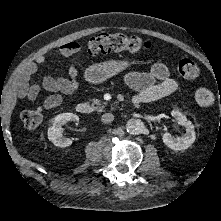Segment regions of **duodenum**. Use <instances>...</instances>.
Returning a JSON list of instances; mask_svg holds the SVG:
<instances>
[{
    "label": "duodenum",
    "mask_w": 221,
    "mask_h": 221,
    "mask_svg": "<svg viewBox=\"0 0 221 221\" xmlns=\"http://www.w3.org/2000/svg\"><path fill=\"white\" fill-rule=\"evenodd\" d=\"M133 103L135 105H140L141 104V101L137 98V97H134L133 98ZM76 111L79 113V114H82V115H85V114H88L90 112V106L87 104V103H79L77 106H76Z\"/></svg>",
    "instance_id": "duodenum-1"
}]
</instances>
